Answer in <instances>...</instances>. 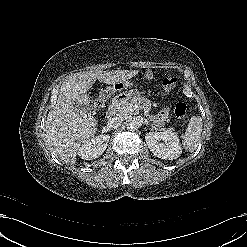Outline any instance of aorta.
<instances>
[{"mask_svg":"<svg viewBox=\"0 0 247 247\" xmlns=\"http://www.w3.org/2000/svg\"><path fill=\"white\" fill-rule=\"evenodd\" d=\"M139 127H140V124L135 119H132V120L128 121V123H127V128L131 131H136L139 129Z\"/></svg>","mask_w":247,"mask_h":247,"instance_id":"aorta-1","label":"aorta"}]
</instances>
